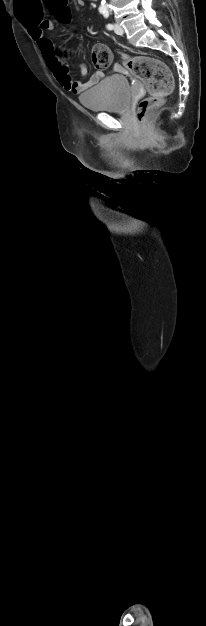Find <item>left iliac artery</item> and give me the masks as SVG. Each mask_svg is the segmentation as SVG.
Listing matches in <instances>:
<instances>
[{
  "label": "left iliac artery",
  "mask_w": 206,
  "mask_h": 626,
  "mask_svg": "<svg viewBox=\"0 0 206 626\" xmlns=\"http://www.w3.org/2000/svg\"><path fill=\"white\" fill-rule=\"evenodd\" d=\"M102 14H103V16H104L105 18H108V16H109L108 11H105V12H103ZM106 28H107L108 30H112V29L114 28V26H113L112 24H110V23H109V24H107V25H106Z\"/></svg>",
  "instance_id": "left-iliac-artery-1"
}]
</instances>
